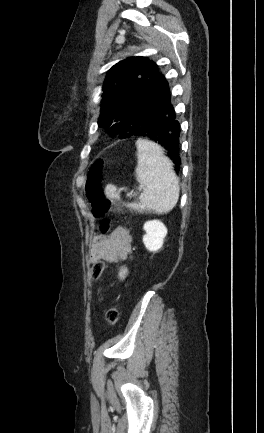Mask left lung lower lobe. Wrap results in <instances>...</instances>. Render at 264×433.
Masks as SVG:
<instances>
[{
    "label": "left lung lower lobe",
    "instance_id": "left-lung-lower-lobe-1",
    "mask_svg": "<svg viewBox=\"0 0 264 433\" xmlns=\"http://www.w3.org/2000/svg\"><path fill=\"white\" fill-rule=\"evenodd\" d=\"M120 125L129 137L149 138L163 146L175 163V171L179 172L180 125L163 74L139 95L121 118Z\"/></svg>",
    "mask_w": 264,
    "mask_h": 433
}]
</instances>
